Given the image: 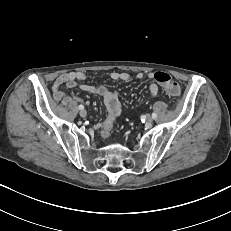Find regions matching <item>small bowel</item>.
<instances>
[{
	"mask_svg": "<svg viewBox=\"0 0 231 231\" xmlns=\"http://www.w3.org/2000/svg\"><path fill=\"white\" fill-rule=\"evenodd\" d=\"M136 77L138 80H144L146 78L149 80H153L154 73L139 72ZM109 78L114 81H128L130 79V75L126 72L114 71L109 74ZM86 79L87 74L83 71L69 72L60 75L55 80L52 86L54 99L57 101H62L64 104H68L71 101H83L80 97L76 95L66 94L65 92H63L60 89L62 85H65L69 89L78 88L82 91H86L91 94L100 96L103 98L108 115L103 122L94 125V128H104L107 125L112 126L114 120L121 114V104L118 99V96L105 85L93 86L81 83ZM158 90V86L154 82H151L148 85V91L151 96H156L158 94Z\"/></svg>",
	"mask_w": 231,
	"mask_h": 231,
	"instance_id": "1",
	"label": "small bowel"
}]
</instances>
